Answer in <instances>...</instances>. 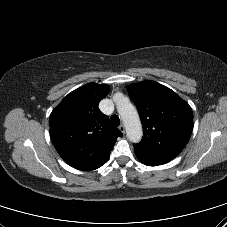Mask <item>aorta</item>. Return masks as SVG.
Listing matches in <instances>:
<instances>
[{"label":"aorta","mask_w":227,"mask_h":227,"mask_svg":"<svg viewBox=\"0 0 227 227\" xmlns=\"http://www.w3.org/2000/svg\"><path fill=\"white\" fill-rule=\"evenodd\" d=\"M115 102L117 111L126 128L127 138L133 143L140 142L143 131L136 108L130 103L128 98L122 95L115 97Z\"/></svg>","instance_id":"aorta-1"}]
</instances>
